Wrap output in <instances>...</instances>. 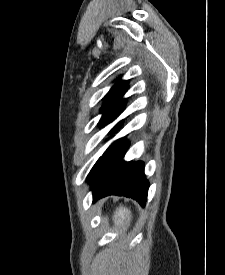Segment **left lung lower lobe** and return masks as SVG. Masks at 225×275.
<instances>
[{"instance_id":"0a47b994","label":"left lung lower lobe","mask_w":225,"mask_h":275,"mask_svg":"<svg viewBox=\"0 0 225 275\" xmlns=\"http://www.w3.org/2000/svg\"><path fill=\"white\" fill-rule=\"evenodd\" d=\"M128 146L123 138L96 162L88 180L94 201L108 195H119L145 205L149 183L144 174V163L123 160Z\"/></svg>"}]
</instances>
